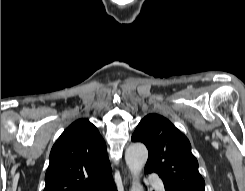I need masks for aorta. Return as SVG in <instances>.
Masks as SVG:
<instances>
[{
    "instance_id": "obj_1",
    "label": "aorta",
    "mask_w": 245,
    "mask_h": 191,
    "mask_svg": "<svg viewBox=\"0 0 245 191\" xmlns=\"http://www.w3.org/2000/svg\"><path fill=\"white\" fill-rule=\"evenodd\" d=\"M148 159V150L141 143L131 144L125 152L126 164L133 175L131 191H143L139 181V175Z\"/></svg>"
}]
</instances>
